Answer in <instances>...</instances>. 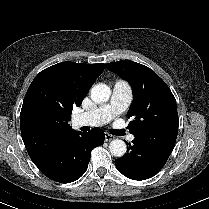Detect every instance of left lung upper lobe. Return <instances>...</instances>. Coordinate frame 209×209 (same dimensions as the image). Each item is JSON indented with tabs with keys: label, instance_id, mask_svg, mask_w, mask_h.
Returning <instances> with one entry per match:
<instances>
[{
	"label": "left lung upper lobe",
	"instance_id": "left-lung-upper-lobe-1",
	"mask_svg": "<svg viewBox=\"0 0 209 209\" xmlns=\"http://www.w3.org/2000/svg\"><path fill=\"white\" fill-rule=\"evenodd\" d=\"M106 67L132 87L130 132L136 137L176 141L179 124L176 100L166 83L150 68L130 60L111 62Z\"/></svg>",
	"mask_w": 209,
	"mask_h": 209
}]
</instances>
